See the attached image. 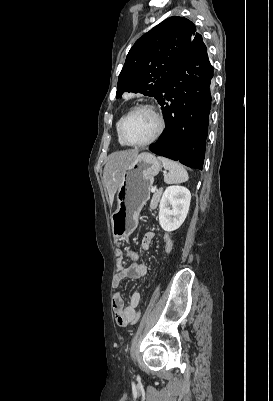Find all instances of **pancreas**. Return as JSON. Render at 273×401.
I'll return each instance as SVG.
<instances>
[{
	"label": "pancreas",
	"instance_id": "cf45deb5",
	"mask_svg": "<svg viewBox=\"0 0 273 401\" xmlns=\"http://www.w3.org/2000/svg\"><path fill=\"white\" fill-rule=\"evenodd\" d=\"M161 194H162L161 188H160V190H156V192H154V194L151 198L150 209H156V207L160 201Z\"/></svg>",
	"mask_w": 273,
	"mask_h": 401
}]
</instances>
